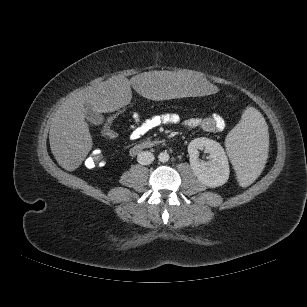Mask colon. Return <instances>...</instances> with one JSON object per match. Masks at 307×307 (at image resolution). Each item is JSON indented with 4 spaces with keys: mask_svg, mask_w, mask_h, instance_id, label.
Returning <instances> with one entry per match:
<instances>
[{
    "mask_svg": "<svg viewBox=\"0 0 307 307\" xmlns=\"http://www.w3.org/2000/svg\"><path fill=\"white\" fill-rule=\"evenodd\" d=\"M129 106L130 104L124 107H121L118 110L114 111L113 113L109 114L105 118V121L101 127V133L104 137L113 139L117 136V132L113 129L112 124L120 115H122L123 112L126 111V109ZM106 162L107 160H106L104 153L99 149H95L91 151L85 159V165L88 168L102 167L106 164Z\"/></svg>",
    "mask_w": 307,
    "mask_h": 307,
    "instance_id": "colon-1",
    "label": "colon"
}]
</instances>
